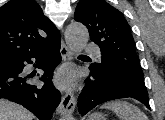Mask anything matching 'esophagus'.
I'll list each match as a JSON object with an SVG mask.
<instances>
[{"mask_svg":"<svg viewBox=\"0 0 165 120\" xmlns=\"http://www.w3.org/2000/svg\"><path fill=\"white\" fill-rule=\"evenodd\" d=\"M60 53L63 58V60H70L72 58V52L69 50V48L66 46L64 41L61 42V48ZM76 105L75 96L71 92H67L58 107V112L62 116H68L73 113Z\"/></svg>","mask_w":165,"mask_h":120,"instance_id":"34e87169","label":"esophagus"}]
</instances>
